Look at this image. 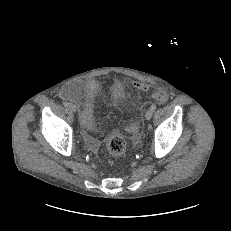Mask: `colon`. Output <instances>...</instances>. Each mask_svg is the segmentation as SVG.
I'll use <instances>...</instances> for the list:
<instances>
[{
	"label": "colon",
	"mask_w": 231,
	"mask_h": 231,
	"mask_svg": "<svg viewBox=\"0 0 231 231\" xmlns=\"http://www.w3.org/2000/svg\"><path fill=\"white\" fill-rule=\"evenodd\" d=\"M134 87L139 90H147L148 85L143 82H134ZM113 93L115 96H122L124 94V87L120 81H116L113 85ZM153 97L163 103L167 99V95L163 91H157L154 93ZM127 147V142L125 137L119 131H113L110 133L108 140H107V150L108 153L113 157H118L122 155Z\"/></svg>",
	"instance_id": "5ec220e1"
}]
</instances>
